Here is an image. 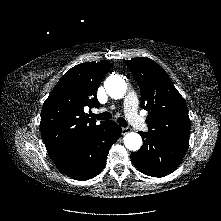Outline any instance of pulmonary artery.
<instances>
[{"instance_id": "pulmonary-artery-1", "label": "pulmonary artery", "mask_w": 221, "mask_h": 221, "mask_svg": "<svg viewBox=\"0 0 221 221\" xmlns=\"http://www.w3.org/2000/svg\"><path fill=\"white\" fill-rule=\"evenodd\" d=\"M123 105L126 117L131 125H133L138 130H144L146 125L137 113L138 98L136 93L129 92L124 99Z\"/></svg>"}]
</instances>
